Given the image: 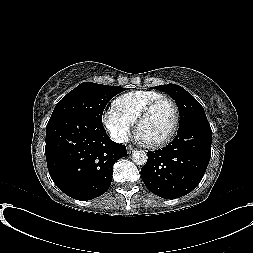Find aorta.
<instances>
[{
	"label": "aorta",
	"mask_w": 253,
	"mask_h": 253,
	"mask_svg": "<svg viewBox=\"0 0 253 253\" xmlns=\"http://www.w3.org/2000/svg\"><path fill=\"white\" fill-rule=\"evenodd\" d=\"M148 156L143 150H136L132 154V161L137 165H145L147 162Z\"/></svg>",
	"instance_id": "aorta-1"
}]
</instances>
